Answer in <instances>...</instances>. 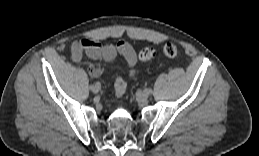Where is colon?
<instances>
[{
    "instance_id": "obj_1",
    "label": "colon",
    "mask_w": 259,
    "mask_h": 156,
    "mask_svg": "<svg viewBox=\"0 0 259 156\" xmlns=\"http://www.w3.org/2000/svg\"><path fill=\"white\" fill-rule=\"evenodd\" d=\"M155 49L152 47H144L139 52V58L142 61H149L155 56ZM178 48L173 43H167L163 47V54L166 57L173 58L177 55ZM116 95L121 98L125 95L127 85L125 80L122 77H117L114 83Z\"/></svg>"
}]
</instances>
